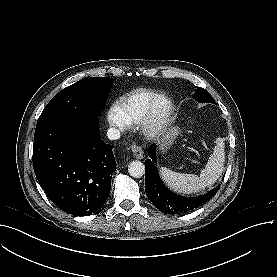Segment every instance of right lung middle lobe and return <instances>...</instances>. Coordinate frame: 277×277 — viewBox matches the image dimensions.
I'll use <instances>...</instances> for the list:
<instances>
[{"label": "right lung middle lobe", "instance_id": "right-lung-middle-lobe-1", "mask_svg": "<svg viewBox=\"0 0 277 277\" xmlns=\"http://www.w3.org/2000/svg\"><path fill=\"white\" fill-rule=\"evenodd\" d=\"M113 81L108 77H86L64 88L46 105L37 123L55 118L99 115Z\"/></svg>", "mask_w": 277, "mask_h": 277}]
</instances>
